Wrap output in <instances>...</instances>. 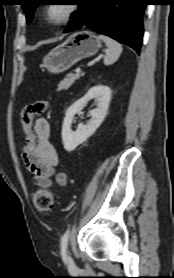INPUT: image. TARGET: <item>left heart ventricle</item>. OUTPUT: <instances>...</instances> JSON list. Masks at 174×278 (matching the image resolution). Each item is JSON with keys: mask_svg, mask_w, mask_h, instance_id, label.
I'll return each instance as SVG.
<instances>
[{"mask_svg": "<svg viewBox=\"0 0 174 278\" xmlns=\"http://www.w3.org/2000/svg\"><path fill=\"white\" fill-rule=\"evenodd\" d=\"M65 7L63 4H54L47 9V15L50 18L57 19L64 14Z\"/></svg>", "mask_w": 174, "mask_h": 278, "instance_id": "1", "label": "left heart ventricle"}]
</instances>
